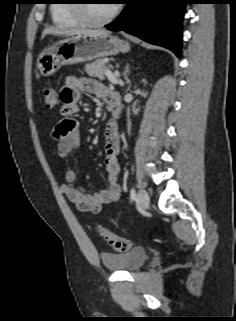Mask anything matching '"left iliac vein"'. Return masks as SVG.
<instances>
[{
	"instance_id": "obj_1",
	"label": "left iliac vein",
	"mask_w": 236,
	"mask_h": 321,
	"mask_svg": "<svg viewBox=\"0 0 236 321\" xmlns=\"http://www.w3.org/2000/svg\"><path fill=\"white\" fill-rule=\"evenodd\" d=\"M138 199L142 209H146L149 206L150 199L145 189L141 188L139 190Z\"/></svg>"
}]
</instances>
